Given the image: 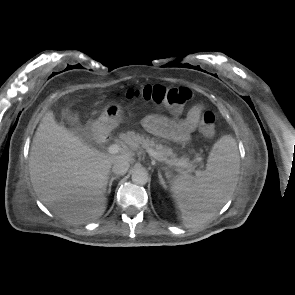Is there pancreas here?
Here are the masks:
<instances>
[{
  "mask_svg": "<svg viewBox=\"0 0 295 295\" xmlns=\"http://www.w3.org/2000/svg\"><path fill=\"white\" fill-rule=\"evenodd\" d=\"M125 142L129 145H140L143 148L152 149L158 153L161 158H165L168 160H172L175 162H186V166H179L187 172H191L195 169L196 165L189 161L188 158L182 157L178 159L176 155L173 154L172 150L164 147L161 144H156L153 139H149L148 137H144V135L135 134L133 131L127 132L124 138Z\"/></svg>",
  "mask_w": 295,
  "mask_h": 295,
  "instance_id": "1",
  "label": "pancreas"
}]
</instances>
